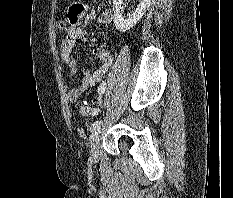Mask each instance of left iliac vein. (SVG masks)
<instances>
[{
	"label": "left iliac vein",
	"mask_w": 233,
	"mask_h": 198,
	"mask_svg": "<svg viewBox=\"0 0 233 198\" xmlns=\"http://www.w3.org/2000/svg\"><path fill=\"white\" fill-rule=\"evenodd\" d=\"M100 133L101 129L97 128L93 131L91 138H90V144H91V157L93 160H96L99 156V140H100Z\"/></svg>",
	"instance_id": "4c4485c4"
}]
</instances>
